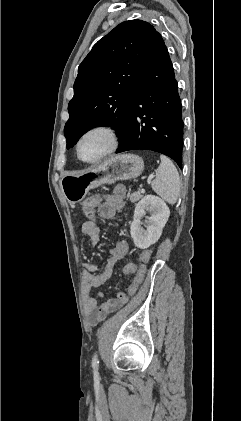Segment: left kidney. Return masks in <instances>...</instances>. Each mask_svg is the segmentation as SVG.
<instances>
[{
    "mask_svg": "<svg viewBox=\"0 0 241 421\" xmlns=\"http://www.w3.org/2000/svg\"><path fill=\"white\" fill-rule=\"evenodd\" d=\"M149 211L151 216L146 220L144 229L141 219ZM170 210L166 203L154 195H146L135 206L134 218L130 227V234L136 247L146 249L156 243L169 218Z\"/></svg>",
    "mask_w": 241,
    "mask_h": 421,
    "instance_id": "left-kidney-1",
    "label": "left kidney"
}]
</instances>
